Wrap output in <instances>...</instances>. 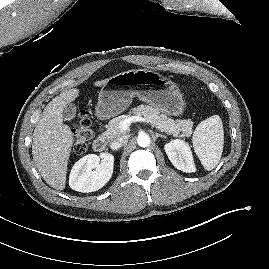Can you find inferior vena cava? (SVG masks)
Segmentation results:
<instances>
[{
	"label": "inferior vena cava",
	"mask_w": 269,
	"mask_h": 269,
	"mask_svg": "<svg viewBox=\"0 0 269 269\" xmlns=\"http://www.w3.org/2000/svg\"><path fill=\"white\" fill-rule=\"evenodd\" d=\"M122 144H123V138H118L113 142H111L110 147L112 150H117L122 146Z\"/></svg>",
	"instance_id": "602c4592"
}]
</instances>
